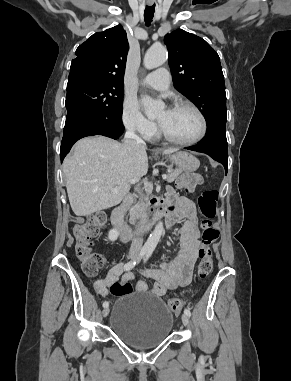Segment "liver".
Wrapping results in <instances>:
<instances>
[{
    "label": "liver",
    "instance_id": "liver-1",
    "mask_svg": "<svg viewBox=\"0 0 291 381\" xmlns=\"http://www.w3.org/2000/svg\"><path fill=\"white\" fill-rule=\"evenodd\" d=\"M177 151L169 148L162 153ZM148 167L146 147L134 140L119 143L103 136L79 140L63 162L73 212L88 216L118 205L128 194L132 181L146 175Z\"/></svg>",
    "mask_w": 291,
    "mask_h": 381
}]
</instances>
